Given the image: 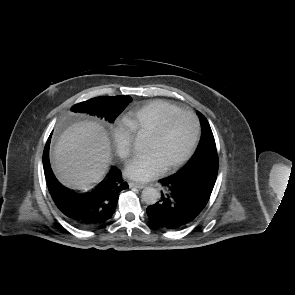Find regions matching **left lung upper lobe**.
Masks as SVG:
<instances>
[{
  "mask_svg": "<svg viewBox=\"0 0 295 295\" xmlns=\"http://www.w3.org/2000/svg\"><path fill=\"white\" fill-rule=\"evenodd\" d=\"M199 117L201 121L202 134L198 148L187 165L180 170L179 173L187 171L201 163H205V161L218 165V155L212 130L205 116L200 114Z\"/></svg>",
  "mask_w": 295,
  "mask_h": 295,
  "instance_id": "1",
  "label": "left lung upper lobe"
}]
</instances>
